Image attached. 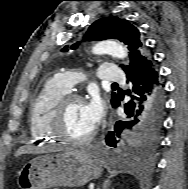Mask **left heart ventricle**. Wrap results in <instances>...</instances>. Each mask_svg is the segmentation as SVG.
Listing matches in <instances>:
<instances>
[{
  "mask_svg": "<svg viewBox=\"0 0 188 189\" xmlns=\"http://www.w3.org/2000/svg\"><path fill=\"white\" fill-rule=\"evenodd\" d=\"M85 105V102H73L67 108L63 128L72 137H83L94 128L86 114Z\"/></svg>",
  "mask_w": 188,
  "mask_h": 189,
  "instance_id": "b2bd125f",
  "label": "left heart ventricle"
}]
</instances>
